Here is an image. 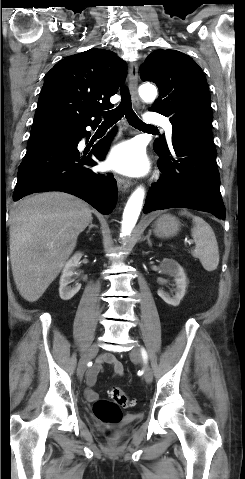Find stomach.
I'll return each instance as SVG.
<instances>
[{
  "label": "stomach",
  "mask_w": 245,
  "mask_h": 479,
  "mask_svg": "<svg viewBox=\"0 0 245 479\" xmlns=\"http://www.w3.org/2000/svg\"><path fill=\"white\" fill-rule=\"evenodd\" d=\"M180 228V222L175 216L164 214L155 222L154 233L160 238H169L174 236Z\"/></svg>",
  "instance_id": "0dacf381"
}]
</instances>
